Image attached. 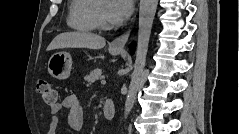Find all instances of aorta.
Listing matches in <instances>:
<instances>
[{"label": "aorta", "instance_id": "aorta-1", "mask_svg": "<svg viewBox=\"0 0 239 134\" xmlns=\"http://www.w3.org/2000/svg\"><path fill=\"white\" fill-rule=\"evenodd\" d=\"M157 4L158 0H140L136 58L134 71L131 75V82L125 101V119L128 117V114L134 106L139 82L145 68L149 40Z\"/></svg>", "mask_w": 239, "mask_h": 134}]
</instances>
